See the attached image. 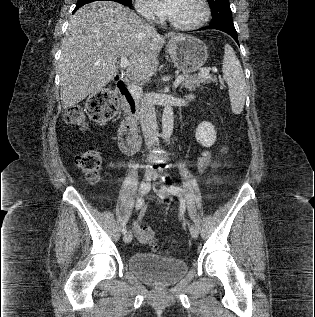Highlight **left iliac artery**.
<instances>
[{
    "instance_id": "obj_1",
    "label": "left iliac artery",
    "mask_w": 315,
    "mask_h": 317,
    "mask_svg": "<svg viewBox=\"0 0 315 317\" xmlns=\"http://www.w3.org/2000/svg\"><path fill=\"white\" fill-rule=\"evenodd\" d=\"M168 191L173 194V195H177L178 197H180V201L181 204H183V206L185 205V200L182 197V193H184V190L178 186H174V185H170L168 187Z\"/></svg>"
}]
</instances>
